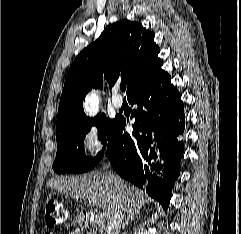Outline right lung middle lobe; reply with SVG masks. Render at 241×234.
I'll return each mask as SVG.
<instances>
[{
  "mask_svg": "<svg viewBox=\"0 0 241 234\" xmlns=\"http://www.w3.org/2000/svg\"><path fill=\"white\" fill-rule=\"evenodd\" d=\"M116 119H106L104 114L94 119L87 118L71 127L56 132L57 154L53 164L56 173H83L94 168L100 161L116 123ZM98 127L103 149L95 158L85 156L84 139L92 126Z\"/></svg>",
  "mask_w": 241,
  "mask_h": 234,
  "instance_id": "1",
  "label": "right lung middle lobe"
}]
</instances>
